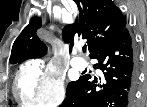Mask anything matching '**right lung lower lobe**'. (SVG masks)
Masks as SVG:
<instances>
[{"label":"right lung lower lobe","instance_id":"obj_1","mask_svg":"<svg viewBox=\"0 0 147 107\" xmlns=\"http://www.w3.org/2000/svg\"><path fill=\"white\" fill-rule=\"evenodd\" d=\"M95 69L103 72L100 81L83 76L60 107H131L137 82V58L130 33L125 28L110 44L100 49Z\"/></svg>","mask_w":147,"mask_h":107}]
</instances>
